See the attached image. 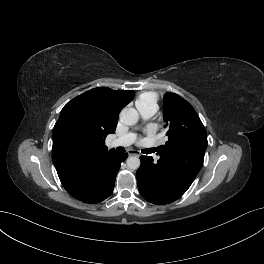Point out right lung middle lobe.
Segmentation results:
<instances>
[{"label": "right lung middle lobe", "mask_w": 264, "mask_h": 264, "mask_svg": "<svg viewBox=\"0 0 264 264\" xmlns=\"http://www.w3.org/2000/svg\"><path fill=\"white\" fill-rule=\"evenodd\" d=\"M61 127L69 134L81 137L86 134V115L81 105L69 107L61 118Z\"/></svg>", "instance_id": "1"}]
</instances>
